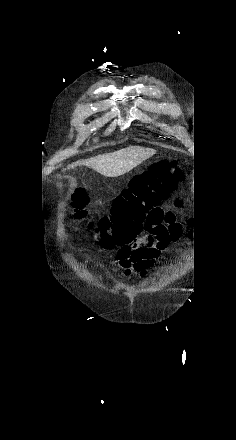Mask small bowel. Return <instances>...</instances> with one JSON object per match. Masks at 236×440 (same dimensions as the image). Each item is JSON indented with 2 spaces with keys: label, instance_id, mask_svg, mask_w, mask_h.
I'll return each mask as SVG.
<instances>
[{
  "label": "small bowel",
  "instance_id": "obj_1",
  "mask_svg": "<svg viewBox=\"0 0 236 440\" xmlns=\"http://www.w3.org/2000/svg\"><path fill=\"white\" fill-rule=\"evenodd\" d=\"M180 206L181 202L177 201L176 207ZM144 229L145 235L120 245L116 251L124 275H129L132 270L139 274L146 273L170 243L181 239L185 230L175 210H165L160 206L147 214Z\"/></svg>",
  "mask_w": 236,
  "mask_h": 440
}]
</instances>
